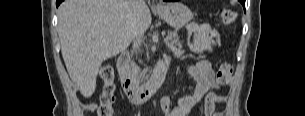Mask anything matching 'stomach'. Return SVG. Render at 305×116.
<instances>
[{
  "mask_svg": "<svg viewBox=\"0 0 305 116\" xmlns=\"http://www.w3.org/2000/svg\"><path fill=\"white\" fill-rule=\"evenodd\" d=\"M157 14L175 29L187 25L193 18L191 10L179 2H170L156 10Z\"/></svg>",
  "mask_w": 305,
  "mask_h": 116,
  "instance_id": "obj_1",
  "label": "stomach"
}]
</instances>
